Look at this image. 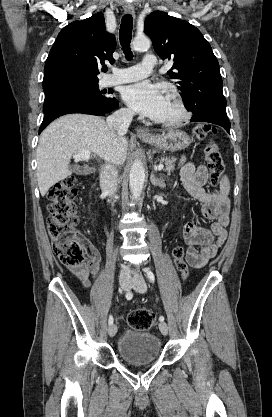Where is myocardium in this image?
<instances>
[{
    "label": "myocardium",
    "instance_id": "1",
    "mask_svg": "<svg viewBox=\"0 0 272 417\" xmlns=\"http://www.w3.org/2000/svg\"><path fill=\"white\" fill-rule=\"evenodd\" d=\"M168 98L173 101V103L176 105L179 114L176 118L170 119V120H157L156 123L159 124L162 127L165 128H176L183 124H185L191 117L190 110L183 99V97L176 93L171 92L168 95Z\"/></svg>",
    "mask_w": 272,
    "mask_h": 417
}]
</instances>
